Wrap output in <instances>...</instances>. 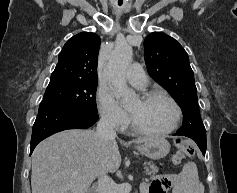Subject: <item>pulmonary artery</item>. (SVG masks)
Listing matches in <instances>:
<instances>
[{"instance_id":"1","label":"pulmonary artery","mask_w":237,"mask_h":193,"mask_svg":"<svg viewBox=\"0 0 237 193\" xmlns=\"http://www.w3.org/2000/svg\"><path fill=\"white\" fill-rule=\"evenodd\" d=\"M127 81L138 89H144L147 86V77L142 67L138 64L131 65L126 71Z\"/></svg>"}]
</instances>
